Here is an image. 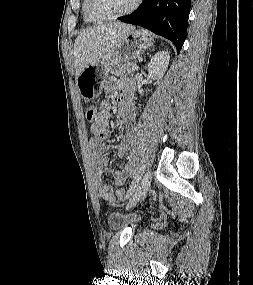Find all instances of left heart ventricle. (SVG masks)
Masks as SVG:
<instances>
[{"instance_id": "b2bd125f", "label": "left heart ventricle", "mask_w": 253, "mask_h": 285, "mask_svg": "<svg viewBox=\"0 0 253 285\" xmlns=\"http://www.w3.org/2000/svg\"><path fill=\"white\" fill-rule=\"evenodd\" d=\"M135 0H91L92 11L98 16H110L128 9Z\"/></svg>"}]
</instances>
